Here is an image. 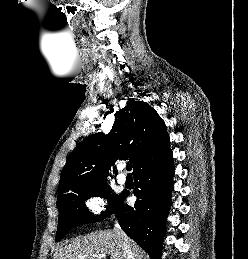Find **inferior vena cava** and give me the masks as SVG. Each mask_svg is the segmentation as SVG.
<instances>
[{
	"label": "inferior vena cava",
	"instance_id": "1",
	"mask_svg": "<svg viewBox=\"0 0 248 259\" xmlns=\"http://www.w3.org/2000/svg\"><path fill=\"white\" fill-rule=\"evenodd\" d=\"M115 233L123 238V248H124V257L125 259H134L133 252L131 250L130 244L128 242L127 235L123 232L120 225L116 222L114 226Z\"/></svg>",
	"mask_w": 248,
	"mask_h": 259
}]
</instances>
